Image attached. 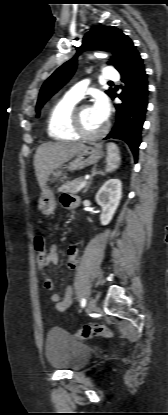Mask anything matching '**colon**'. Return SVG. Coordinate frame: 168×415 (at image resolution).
<instances>
[{"instance_id":"1","label":"colon","mask_w":168,"mask_h":415,"mask_svg":"<svg viewBox=\"0 0 168 415\" xmlns=\"http://www.w3.org/2000/svg\"><path fill=\"white\" fill-rule=\"evenodd\" d=\"M34 249L36 251V260L35 265L38 266L34 269V272L37 274H42L43 271L48 269L47 262V250L45 238L41 235H37L34 238ZM76 336L81 339H90L92 337H102L105 339H110L114 336L113 331L100 323H93L84 326L81 330L76 333Z\"/></svg>"}]
</instances>
